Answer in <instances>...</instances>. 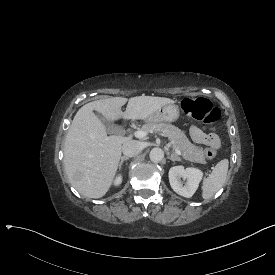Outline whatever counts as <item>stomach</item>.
Returning a JSON list of instances; mask_svg holds the SVG:
<instances>
[{
  "label": "stomach",
  "mask_w": 275,
  "mask_h": 275,
  "mask_svg": "<svg viewBox=\"0 0 275 275\" xmlns=\"http://www.w3.org/2000/svg\"><path fill=\"white\" fill-rule=\"evenodd\" d=\"M179 110L176 105L173 103L163 105L159 107L157 110L152 112L150 115L143 118L145 122H172L178 118Z\"/></svg>",
  "instance_id": "obj_1"
}]
</instances>
